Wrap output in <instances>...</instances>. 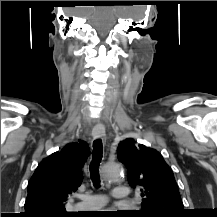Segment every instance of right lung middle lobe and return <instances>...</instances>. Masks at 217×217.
Wrapping results in <instances>:
<instances>
[{
	"label": "right lung middle lobe",
	"mask_w": 217,
	"mask_h": 217,
	"mask_svg": "<svg viewBox=\"0 0 217 217\" xmlns=\"http://www.w3.org/2000/svg\"><path fill=\"white\" fill-rule=\"evenodd\" d=\"M54 217H71V216H65V215H56Z\"/></svg>",
	"instance_id": "dd1d6c3e"
}]
</instances>
